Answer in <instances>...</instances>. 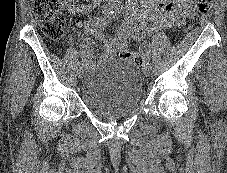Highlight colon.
<instances>
[{
	"label": "colon",
	"instance_id": "obj_1",
	"mask_svg": "<svg viewBox=\"0 0 227 173\" xmlns=\"http://www.w3.org/2000/svg\"><path fill=\"white\" fill-rule=\"evenodd\" d=\"M212 0H195V7L201 13L209 11ZM34 15L45 36L53 40H61L70 25L69 16L60 10L59 0H32ZM121 57L140 61L136 52H125Z\"/></svg>",
	"mask_w": 227,
	"mask_h": 173
}]
</instances>
